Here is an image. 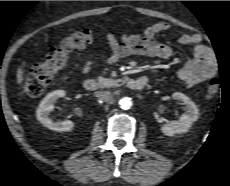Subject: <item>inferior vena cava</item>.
<instances>
[{
    "instance_id": "obj_1",
    "label": "inferior vena cava",
    "mask_w": 230,
    "mask_h": 186,
    "mask_svg": "<svg viewBox=\"0 0 230 186\" xmlns=\"http://www.w3.org/2000/svg\"><path fill=\"white\" fill-rule=\"evenodd\" d=\"M96 96H97L100 100L105 101V102L110 101L111 98H112V94H111V92H109V91H99V92L96 93Z\"/></svg>"
}]
</instances>
